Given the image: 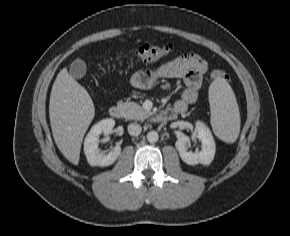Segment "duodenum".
<instances>
[{
	"label": "duodenum",
	"mask_w": 290,
	"mask_h": 236,
	"mask_svg": "<svg viewBox=\"0 0 290 236\" xmlns=\"http://www.w3.org/2000/svg\"><path fill=\"white\" fill-rule=\"evenodd\" d=\"M184 111L185 110H180L178 108H166L158 114L157 119L160 122L171 121V120H174L178 116V114H180ZM109 115H110V117H112L114 119H120L123 114H122V110L119 106L113 105L109 109Z\"/></svg>",
	"instance_id": "obj_1"
}]
</instances>
